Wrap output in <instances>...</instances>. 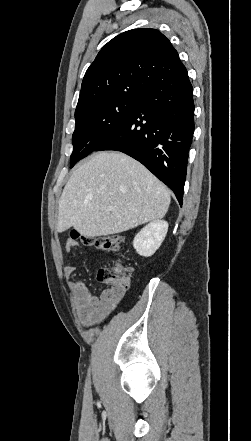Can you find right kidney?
Wrapping results in <instances>:
<instances>
[{"mask_svg":"<svg viewBox=\"0 0 251 441\" xmlns=\"http://www.w3.org/2000/svg\"><path fill=\"white\" fill-rule=\"evenodd\" d=\"M168 231V223L155 220L143 227L133 240L136 252L144 257L152 256L160 247Z\"/></svg>","mask_w":251,"mask_h":441,"instance_id":"right-kidney-1","label":"right kidney"}]
</instances>
